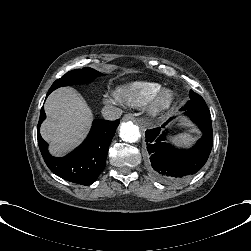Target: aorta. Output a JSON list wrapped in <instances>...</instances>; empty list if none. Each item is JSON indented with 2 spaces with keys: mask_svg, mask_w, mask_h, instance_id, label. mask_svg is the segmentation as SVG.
Here are the masks:
<instances>
[{
  "mask_svg": "<svg viewBox=\"0 0 251 251\" xmlns=\"http://www.w3.org/2000/svg\"><path fill=\"white\" fill-rule=\"evenodd\" d=\"M120 137L126 142H136L140 138L138 126L132 122H124L120 126Z\"/></svg>",
  "mask_w": 251,
  "mask_h": 251,
  "instance_id": "1",
  "label": "aorta"
}]
</instances>
